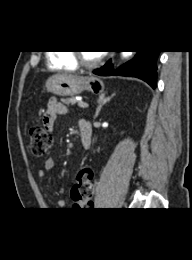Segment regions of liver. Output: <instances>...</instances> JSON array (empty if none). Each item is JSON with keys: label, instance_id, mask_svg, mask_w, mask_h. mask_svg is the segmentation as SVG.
<instances>
[{"label": "liver", "instance_id": "1", "mask_svg": "<svg viewBox=\"0 0 192 260\" xmlns=\"http://www.w3.org/2000/svg\"><path fill=\"white\" fill-rule=\"evenodd\" d=\"M59 75L68 76V77H73V75H69V74H59Z\"/></svg>", "mask_w": 192, "mask_h": 260}]
</instances>
